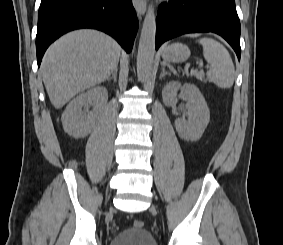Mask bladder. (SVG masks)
Returning <instances> with one entry per match:
<instances>
[{"mask_svg": "<svg viewBox=\"0 0 283 245\" xmlns=\"http://www.w3.org/2000/svg\"><path fill=\"white\" fill-rule=\"evenodd\" d=\"M110 245H157L154 236L144 228H128L117 233Z\"/></svg>", "mask_w": 283, "mask_h": 245, "instance_id": "31cf9c89", "label": "bladder"}]
</instances>
